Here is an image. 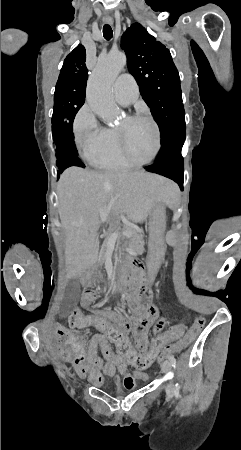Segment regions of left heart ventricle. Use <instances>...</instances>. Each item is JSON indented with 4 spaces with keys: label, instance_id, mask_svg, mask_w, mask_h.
<instances>
[{
    "label": "left heart ventricle",
    "instance_id": "b2bd125f",
    "mask_svg": "<svg viewBox=\"0 0 241 450\" xmlns=\"http://www.w3.org/2000/svg\"><path fill=\"white\" fill-rule=\"evenodd\" d=\"M154 120L148 113H139L133 117V121L125 123V150L129 153L127 159L130 169H139L145 164V160L153 159V133L157 130L154 127Z\"/></svg>",
    "mask_w": 241,
    "mask_h": 450
}]
</instances>
